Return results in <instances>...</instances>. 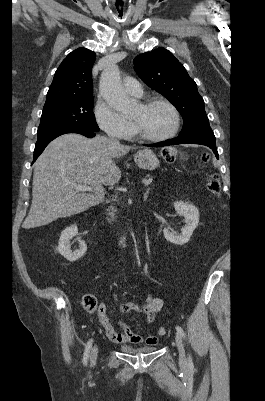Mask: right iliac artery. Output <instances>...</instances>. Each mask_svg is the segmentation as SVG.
I'll use <instances>...</instances> for the list:
<instances>
[{
	"label": "right iliac artery",
	"instance_id": "obj_1",
	"mask_svg": "<svg viewBox=\"0 0 265 401\" xmlns=\"http://www.w3.org/2000/svg\"><path fill=\"white\" fill-rule=\"evenodd\" d=\"M92 342H93V340L90 339V340L87 342V345H86V347H85V351H84V355H83V364H84V365H87L88 358H89V354H90V352H91V350H92Z\"/></svg>",
	"mask_w": 265,
	"mask_h": 401
}]
</instances>
